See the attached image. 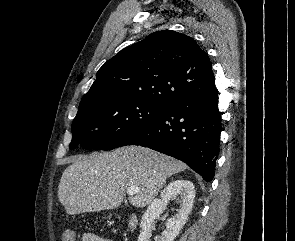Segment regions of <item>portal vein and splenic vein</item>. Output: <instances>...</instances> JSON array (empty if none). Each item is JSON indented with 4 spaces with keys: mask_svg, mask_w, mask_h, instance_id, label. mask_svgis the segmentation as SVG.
Returning a JSON list of instances; mask_svg holds the SVG:
<instances>
[{
    "mask_svg": "<svg viewBox=\"0 0 295 241\" xmlns=\"http://www.w3.org/2000/svg\"><path fill=\"white\" fill-rule=\"evenodd\" d=\"M139 191V188L136 186H131L127 189V194L132 196L134 194H136Z\"/></svg>",
    "mask_w": 295,
    "mask_h": 241,
    "instance_id": "obj_1",
    "label": "portal vein and splenic vein"
}]
</instances>
